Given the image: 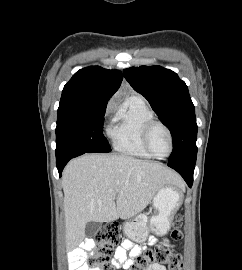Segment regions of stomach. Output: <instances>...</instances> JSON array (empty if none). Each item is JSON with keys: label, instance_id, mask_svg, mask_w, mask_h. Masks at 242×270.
<instances>
[{"label": "stomach", "instance_id": "obj_1", "mask_svg": "<svg viewBox=\"0 0 242 270\" xmlns=\"http://www.w3.org/2000/svg\"><path fill=\"white\" fill-rule=\"evenodd\" d=\"M182 198L183 192L178 186L172 184L163 186L153 198L156 213L150 218L139 214L125 222V235L137 243L146 241L150 231L157 236L166 235L175 213L182 204Z\"/></svg>", "mask_w": 242, "mask_h": 270}]
</instances>
